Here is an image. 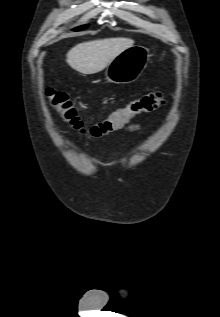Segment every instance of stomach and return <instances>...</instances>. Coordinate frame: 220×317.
I'll use <instances>...</instances> for the list:
<instances>
[{
    "label": "stomach",
    "instance_id": "stomach-1",
    "mask_svg": "<svg viewBox=\"0 0 220 317\" xmlns=\"http://www.w3.org/2000/svg\"><path fill=\"white\" fill-rule=\"evenodd\" d=\"M149 50L133 45L116 56L107 66L105 78L108 82L128 84L136 81L149 61Z\"/></svg>",
    "mask_w": 220,
    "mask_h": 317
}]
</instances>
